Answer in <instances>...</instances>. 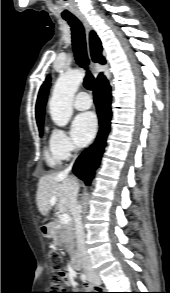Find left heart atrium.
Instances as JSON below:
<instances>
[{"label": "left heart atrium", "mask_w": 170, "mask_h": 293, "mask_svg": "<svg viewBox=\"0 0 170 293\" xmlns=\"http://www.w3.org/2000/svg\"><path fill=\"white\" fill-rule=\"evenodd\" d=\"M97 120L93 113L85 112L77 115L71 125L73 141L78 146H85L95 135Z\"/></svg>", "instance_id": "obj_1"}]
</instances>
